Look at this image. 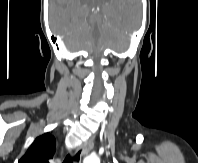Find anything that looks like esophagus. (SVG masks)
<instances>
[{"mask_svg":"<svg viewBox=\"0 0 198 163\" xmlns=\"http://www.w3.org/2000/svg\"><path fill=\"white\" fill-rule=\"evenodd\" d=\"M93 147H94V140L90 139L89 141L84 143L81 147L77 148L75 150V153L81 150V156H85L92 150Z\"/></svg>","mask_w":198,"mask_h":163,"instance_id":"obj_1","label":"esophagus"}]
</instances>
